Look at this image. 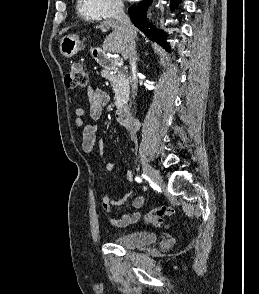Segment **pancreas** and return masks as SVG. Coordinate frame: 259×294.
I'll return each instance as SVG.
<instances>
[{"mask_svg":"<svg viewBox=\"0 0 259 294\" xmlns=\"http://www.w3.org/2000/svg\"><path fill=\"white\" fill-rule=\"evenodd\" d=\"M102 76L108 79L111 83L115 94V104L117 106L123 105L128 101L129 97V80L126 75L119 69H114L113 73H110L107 69H104Z\"/></svg>","mask_w":259,"mask_h":294,"instance_id":"1","label":"pancreas"}]
</instances>
